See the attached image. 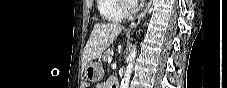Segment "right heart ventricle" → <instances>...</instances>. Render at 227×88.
<instances>
[{
  "instance_id": "1",
  "label": "right heart ventricle",
  "mask_w": 227,
  "mask_h": 88,
  "mask_svg": "<svg viewBox=\"0 0 227 88\" xmlns=\"http://www.w3.org/2000/svg\"><path fill=\"white\" fill-rule=\"evenodd\" d=\"M100 16L106 21L118 22L123 19L119 10L121 0H96Z\"/></svg>"
}]
</instances>
